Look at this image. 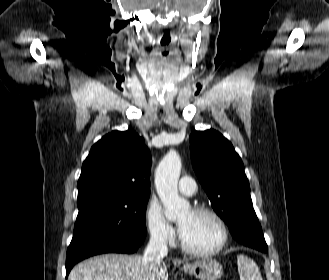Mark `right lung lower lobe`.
Instances as JSON below:
<instances>
[{
    "mask_svg": "<svg viewBox=\"0 0 329 280\" xmlns=\"http://www.w3.org/2000/svg\"><path fill=\"white\" fill-rule=\"evenodd\" d=\"M140 245L141 244H130L127 242L105 237L88 240L77 248H75L74 250L67 252L66 278L72 267L85 258L97 254L110 252L134 253L135 251H137Z\"/></svg>",
    "mask_w": 329,
    "mask_h": 280,
    "instance_id": "98d812e1",
    "label": "right lung lower lobe"
}]
</instances>
